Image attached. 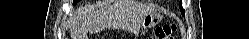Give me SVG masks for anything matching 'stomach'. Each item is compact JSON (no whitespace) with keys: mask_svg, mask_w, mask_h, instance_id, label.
Wrapping results in <instances>:
<instances>
[{"mask_svg":"<svg viewBox=\"0 0 249 39\" xmlns=\"http://www.w3.org/2000/svg\"><path fill=\"white\" fill-rule=\"evenodd\" d=\"M161 21V17L156 14V13H149L147 14L142 22H141V28L142 29H148L151 28L152 26H155Z\"/></svg>","mask_w":249,"mask_h":39,"instance_id":"stomach-1","label":"stomach"}]
</instances>
